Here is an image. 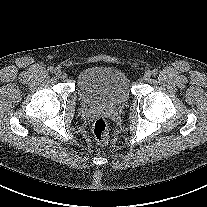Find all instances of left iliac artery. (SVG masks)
Returning a JSON list of instances; mask_svg holds the SVG:
<instances>
[{
    "label": "left iliac artery",
    "instance_id": "44dca946",
    "mask_svg": "<svg viewBox=\"0 0 207 207\" xmlns=\"http://www.w3.org/2000/svg\"><path fill=\"white\" fill-rule=\"evenodd\" d=\"M153 75H157L158 74V70L157 69H153L151 72Z\"/></svg>",
    "mask_w": 207,
    "mask_h": 207
}]
</instances>
